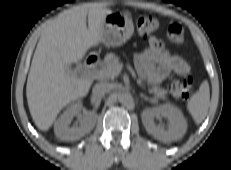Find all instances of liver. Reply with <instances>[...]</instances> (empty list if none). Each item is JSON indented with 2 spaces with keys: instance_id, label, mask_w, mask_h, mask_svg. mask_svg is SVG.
Segmentation results:
<instances>
[{
  "instance_id": "liver-1",
  "label": "liver",
  "mask_w": 231,
  "mask_h": 170,
  "mask_svg": "<svg viewBox=\"0 0 231 170\" xmlns=\"http://www.w3.org/2000/svg\"><path fill=\"white\" fill-rule=\"evenodd\" d=\"M110 13L96 4L76 6L44 29L26 86L29 111L40 130L47 131L67 104L88 94L93 79L68 70L72 63L84 58L89 48L102 42L100 27Z\"/></svg>"
}]
</instances>
